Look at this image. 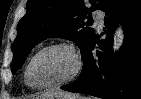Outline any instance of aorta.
Masks as SVG:
<instances>
[{
  "mask_svg": "<svg viewBox=\"0 0 141 99\" xmlns=\"http://www.w3.org/2000/svg\"><path fill=\"white\" fill-rule=\"evenodd\" d=\"M123 41H124V33H123L122 26L119 24L115 31L114 38H113V51L114 52L118 51L121 48Z\"/></svg>",
  "mask_w": 141,
  "mask_h": 99,
  "instance_id": "aorta-1",
  "label": "aorta"
}]
</instances>
